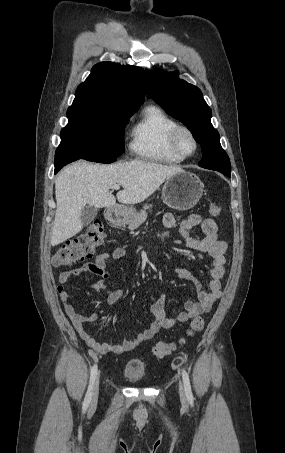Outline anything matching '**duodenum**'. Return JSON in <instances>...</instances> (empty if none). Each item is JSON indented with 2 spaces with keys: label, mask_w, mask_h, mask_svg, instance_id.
Listing matches in <instances>:
<instances>
[{
  "label": "duodenum",
  "mask_w": 285,
  "mask_h": 453,
  "mask_svg": "<svg viewBox=\"0 0 285 453\" xmlns=\"http://www.w3.org/2000/svg\"><path fill=\"white\" fill-rule=\"evenodd\" d=\"M118 209L116 207H109L107 210V219L111 223H115L118 217Z\"/></svg>",
  "instance_id": "410a0bca"
}]
</instances>
